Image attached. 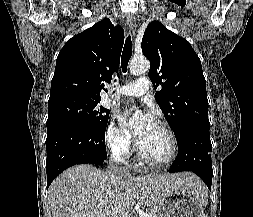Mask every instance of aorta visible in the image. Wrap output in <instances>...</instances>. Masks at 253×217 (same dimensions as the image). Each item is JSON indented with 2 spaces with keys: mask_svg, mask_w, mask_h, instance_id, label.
Here are the masks:
<instances>
[{
  "mask_svg": "<svg viewBox=\"0 0 253 217\" xmlns=\"http://www.w3.org/2000/svg\"><path fill=\"white\" fill-rule=\"evenodd\" d=\"M150 63L146 58H133L130 62L129 69L133 75L144 74L149 70ZM140 112H136L134 116L139 115Z\"/></svg>",
  "mask_w": 253,
  "mask_h": 217,
  "instance_id": "obj_1",
  "label": "aorta"
}]
</instances>
